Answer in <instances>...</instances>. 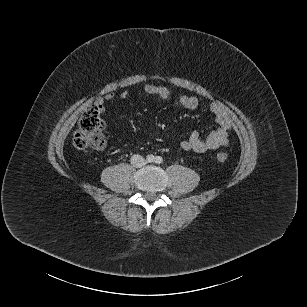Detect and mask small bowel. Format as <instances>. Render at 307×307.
Here are the masks:
<instances>
[{
  "label": "small bowel",
  "instance_id": "obj_1",
  "mask_svg": "<svg viewBox=\"0 0 307 307\" xmlns=\"http://www.w3.org/2000/svg\"><path fill=\"white\" fill-rule=\"evenodd\" d=\"M144 92L148 95L157 96L161 99L171 97V91L164 86L148 84L144 87ZM127 91L121 92V99L127 98ZM115 99L113 93L106 94L103 98H98L95 101V106L102 113L105 109V104ZM180 105L187 109H197L200 106V100L194 96L181 95L178 99ZM208 110L213 114L216 129L213 130L206 138H202L197 132H192L181 142L182 149L193 151L195 153H205L207 151L216 150L220 147H226L229 144V133L231 130V121L225 114L223 109L217 103H210Z\"/></svg>",
  "mask_w": 307,
  "mask_h": 307
}]
</instances>
